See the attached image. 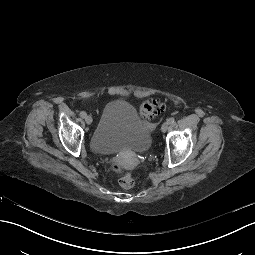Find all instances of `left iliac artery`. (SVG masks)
<instances>
[{"label":"left iliac artery","instance_id":"1","mask_svg":"<svg viewBox=\"0 0 255 255\" xmlns=\"http://www.w3.org/2000/svg\"><path fill=\"white\" fill-rule=\"evenodd\" d=\"M167 122H168L169 124H173V123L175 122V118H174V117H170V118L167 120Z\"/></svg>","mask_w":255,"mask_h":255}]
</instances>
